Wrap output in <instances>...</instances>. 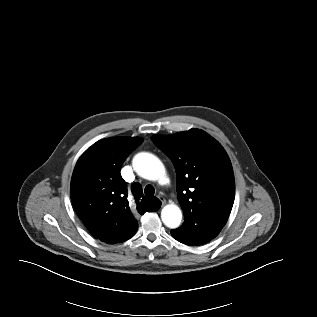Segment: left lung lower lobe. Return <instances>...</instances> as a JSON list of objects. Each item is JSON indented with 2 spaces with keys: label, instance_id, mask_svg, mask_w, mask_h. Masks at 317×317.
Instances as JSON below:
<instances>
[{
  "label": "left lung lower lobe",
  "instance_id": "left-lung-lower-lobe-1",
  "mask_svg": "<svg viewBox=\"0 0 317 317\" xmlns=\"http://www.w3.org/2000/svg\"><path fill=\"white\" fill-rule=\"evenodd\" d=\"M227 218L215 215H196L184 220L181 227L171 230V235L179 242L197 246L214 239L224 227Z\"/></svg>",
  "mask_w": 317,
  "mask_h": 317
}]
</instances>
